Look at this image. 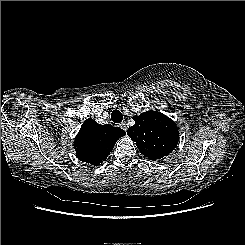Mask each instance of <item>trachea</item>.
<instances>
[{
	"label": "trachea",
	"instance_id": "trachea-1",
	"mask_svg": "<svg viewBox=\"0 0 245 245\" xmlns=\"http://www.w3.org/2000/svg\"><path fill=\"white\" fill-rule=\"evenodd\" d=\"M111 120H112L114 123H120V122H122V120H123V115H122V113H121L119 110H114V111H112V114H111Z\"/></svg>",
	"mask_w": 245,
	"mask_h": 245
}]
</instances>
